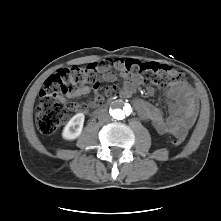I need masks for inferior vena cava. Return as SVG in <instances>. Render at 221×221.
I'll return each instance as SVG.
<instances>
[{
	"mask_svg": "<svg viewBox=\"0 0 221 221\" xmlns=\"http://www.w3.org/2000/svg\"><path fill=\"white\" fill-rule=\"evenodd\" d=\"M99 120L102 121V122H108L110 121V116L107 112H102L100 115H99Z\"/></svg>",
	"mask_w": 221,
	"mask_h": 221,
	"instance_id": "obj_1",
	"label": "inferior vena cava"
}]
</instances>
